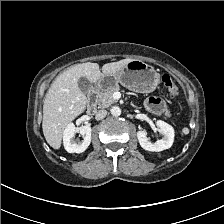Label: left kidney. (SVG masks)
I'll use <instances>...</instances> for the list:
<instances>
[{
	"mask_svg": "<svg viewBox=\"0 0 224 224\" xmlns=\"http://www.w3.org/2000/svg\"><path fill=\"white\" fill-rule=\"evenodd\" d=\"M157 127L159 132L163 134V138L154 143L148 141L147 132L142 130L137 132V138L141 147L147 151L160 152L169 149L174 142V129L168 123L158 120Z\"/></svg>",
	"mask_w": 224,
	"mask_h": 224,
	"instance_id": "1",
	"label": "left kidney"
}]
</instances>
